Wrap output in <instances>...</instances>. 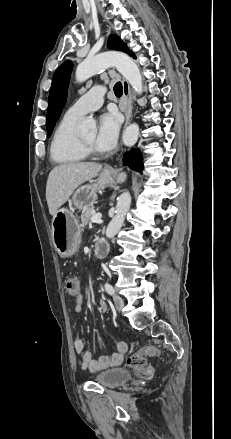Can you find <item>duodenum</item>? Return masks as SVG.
Here are the masks:
<instances>
[{"label": "duodenum", "instance_id": "1", "mask_svg": "<svg viewBox=\"0 0 231 439\" xmlns=\"http://www.w3.org/2000/svg\"><path fill=\"white\" fill-rule=\"evenodd\" d=\"M109 252V245L106 240L100 239L96 242L94 246V256L96 258H103Z\"/></svg>", "mask_w": 231, "mask_h": 439}]
</instances>
